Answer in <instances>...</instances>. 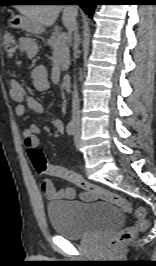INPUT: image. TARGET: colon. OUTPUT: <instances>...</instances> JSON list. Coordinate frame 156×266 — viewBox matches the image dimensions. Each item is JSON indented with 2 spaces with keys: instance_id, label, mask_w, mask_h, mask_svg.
<instances>
[{
  "instance_id": "5ec220e1",
  "label": "colon",
  "mask_w": 156,
  "mask_h": 266,
  "mask_svg": "<svg viewBox=\"0 0 156 266\" xmlns=\"http://www.w3.org/2000/svg\"><path fill=\"white\" fill-rule=\"evenodd\" d=\"M2 46L5 53L11 57L17 50V40L11 31H6L2 36ZM29 158L35 171L38 174H48L67 180L85 192L96 198L104 200L119 207L123 212L131 214L136 218L134 225L125 228L119 234L111 238L108 242L110 250L116 249L119 245L133 240L137 234L148 228L146 210L142 206H134L130 201L121 195L106 190L86 180L82 175L62 166L48 164L43 152L39 148H34L28 152Z\"/></svg>"
}]
</instances>
